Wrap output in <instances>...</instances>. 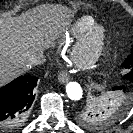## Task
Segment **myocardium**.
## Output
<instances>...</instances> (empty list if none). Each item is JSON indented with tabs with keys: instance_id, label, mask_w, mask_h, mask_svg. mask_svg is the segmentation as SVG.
Here are the masks:
<instances>
[{
	"instance_id": "1",
	"label": "myocardium",
	"mask_w": 133,
	"mask_h": 133,
	"mask_svg": "<svg viewBox=\"0 0 133 133\" xmlns=\"http://www.w3.org/2000/svg\"><path fill=\"white\" fill-rule=\"evenodd\" d=\"M107 41V29L100 23L91 25L69 53L71 66L77 71H89L102 56Z\"/></svg>"
}]
</instances>
